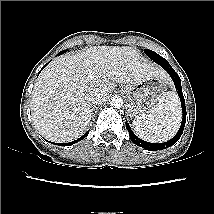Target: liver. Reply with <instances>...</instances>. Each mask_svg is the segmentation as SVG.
Masks as SVG:
<instances>
[{
	"label": "liver",
	"instance_id": "1",
	"mask_svg": "<svg viewBox=\"0 0 214 214\" xmlns=\"http://www.w3.org/2000/svg\"><path fill=\"white\" fill-rule=\"evenodd\" d=\"M154 76L165 79L166 73L129 46H93L60 56L41 72L34 85L33 124L50 141H72L83 135L90 123L92 91L109 93L115 83L133 84Z\"/></svg>",
	"mask_w": 214,
	"mask_h": 214
}]
</instances>
